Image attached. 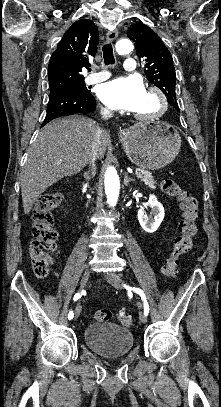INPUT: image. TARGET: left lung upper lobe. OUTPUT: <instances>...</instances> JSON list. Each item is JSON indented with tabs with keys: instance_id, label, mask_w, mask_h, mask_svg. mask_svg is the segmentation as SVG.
<instances>
[{
	"instance_id": "left-lung-upper-lobe-1",
	"label": "left lung upper lobe",
	"mask_w": 221,
	"mask_h": 407,
	"mask_svg": "<svg viewBox=\"0 0 221 407\" xmlns=\"http://www.w3.org/2000/svg\"><path fill=\"white\" fill-rule=\"evenodd\" d=\"M128 37L135 42L137 56L145 61L147 79L161 89L167 101L179 110L176 93V73L171 53L160 37L143 23L132 24Z\"/></svg>"
}]
</instances>
